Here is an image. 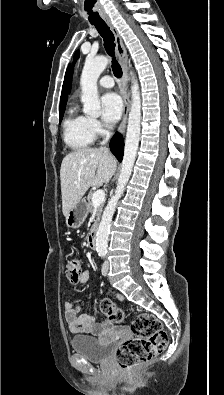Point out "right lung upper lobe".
<instances>
[{
    "label": "right lung upper lobe",
    "instance_id": "obj_1",
    "mask_svg": "<svg viewBox=\"0 0 224 395\" xmlns=\"http://www.w3.org/2000/svg\"><path fill=\"white\" fill-rule=\"evenodd\" d=\"M68 71H69V69H67V71H66L65 80H64V83H63V87H62V94H61V99H60V110L65 109L66 102H67V78H68Z\"/></svg>",
    "mask_w": 224,
    "mask_h": 395
}]
</instances>
